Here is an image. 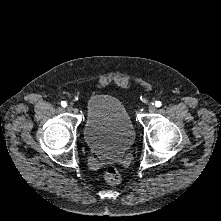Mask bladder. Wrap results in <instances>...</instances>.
<instances>
[{
    "mask_svg": "<svg viewBox=\"0 0 221 221\" xmlns=\"http://www.w3.org/2000/svg\"><path fill=\"white\" fill-rule=\"evenodd\" d=\"M84 138L95 153L113 157L125 153L132 146L134 126L118 98L99 94L87 101Z\"/></svg>",
    "mask_w": 221,
    "mask_h": 221,
    "instance_id": "bladder-1",
    "label": "bladder"
}]
</instances>
